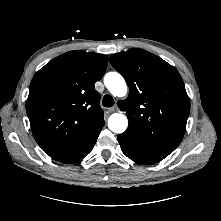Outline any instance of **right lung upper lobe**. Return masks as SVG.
Returning <instances> with one entry per match:
<instances>
[{"instance_id":"1","label":"right lung upper lobe","mask_w":221,"mask_h":221,"mask_svg":"<svg viewBox=\"0 0 221 221\" xmlns=\"http://www.w3.org/2000/svg\"><path fill=\"white\" fill-rule=\"evenodd\" d=\"M107 62L102 54L70 51L33 77L26 112L35 140L49 156L78 146L103 120L94 84L103 77Z\"/></svg>"}]
</instances>
